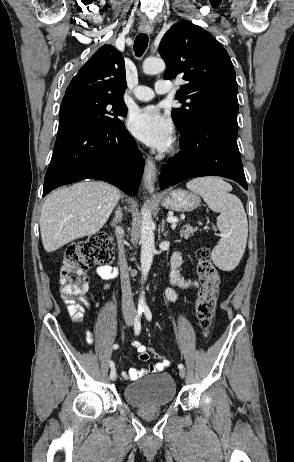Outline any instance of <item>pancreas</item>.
<instances>
[{
  "label": "pancreas",
  "mask_w": 294,
  "mask_h": 462,
  "mask_svg": "<svg viewBox=\"0 0 294 462\" xmlns=\"http://www.w3.org/2000/svg\"><path fill=\"white\" fill-rule=\"evenodd\" d=\"M195 231H196L195 228H193L189 224H186V225H184L183 229L180 230V235L185 237V238H188L191 235H193Z\"/></svg>",
  "instance_id": "1"
}]
</instances>
